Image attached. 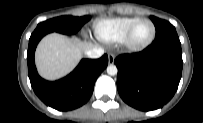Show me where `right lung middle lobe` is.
<instances>
[{"label":"right lung middle lobe","mask_w":203,"mask_h":123,"mask_svg":"<svg viewBox=\"0 0 203 123\" xmlns=\"http://www.w3.org/2000/svg\"><path fill=\"white\" fill-rule=\"evenodd\" d=\"M90 20V16L73 17L61 16L41 22L35 29L36 32H59L66 35L75 34L78 30Z\"/></svg>","instance_id":"1"}]
</instances>
